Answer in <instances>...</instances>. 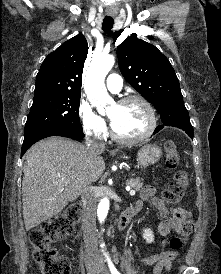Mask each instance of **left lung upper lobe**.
<instances>
[{"label": "left lung upper lobe", "instance_id": "left-lung-upper-lobe-1", "mask_svg": "<svg viewBox=\"0 0 221 274\" xmlns=\"http://www.w3.org/2000/svg\"><path fill=\"white\" fill-rule=\"evenodd\" d=\"M117 56L126 81L153 104L161 117L184 106L176 73L154 45L132 34L117 47Z\"/></svg>", "mask_w": 221, "mask_h": 274}]
</instances>
